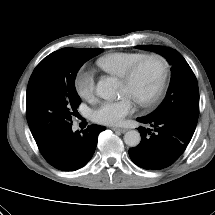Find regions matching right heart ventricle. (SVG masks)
Instances as JSON below:
<instances>
[{
    "mask_svg": "<svg viewBox=\"0 0 215 215\" xmlns=\"http://www.w3.org/2000/svg\"><path fill=\"white\" fill-rule=\"evenodd\" d=\"M144 55L142 52H115L100 57L97 64L105 72L121 78L128 68Z\"/></svg>",
    "mask_w": 215,
    "mask_h": 215,
    "instance_id": "obj_1",
    "label": "right heart ventricle"
}]
</instances>
